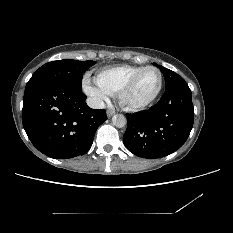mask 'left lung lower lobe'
Returning <instances> with one entry per match:
<instances>
[{"label":"left lung lower lobe","mask_w":233,"mask_h":233,"mask_svg":"<svg viewBox=\"0 0 233 233\" xmlns=\"http://www.w3.org/2000/svg\"><path fill=\"white\" fill-rule=\"evenodd\" d=\"M193 121L191 90L186 82H180L166 89L150 109L127 115L123 143L136 156L164 157L185 143Z\"/></svg>","instance_id":"obj_1"}]
</instances>
